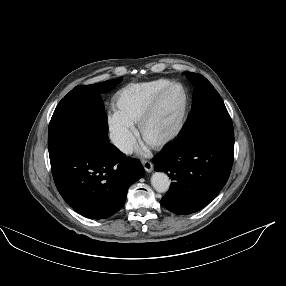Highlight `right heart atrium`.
I'll list each match as a JSON object with an SVG mask.
<instances>
[{
	"label": "right heart atrium",
	"mask_w": 286,
	"mask_h": 286,
	"mask_svg": "<svg viewBox=\"0 0 286 286\" xmlns=\"http://www.w3.org/2000/svg\"><path fill=\"white\" fill-rule=\"evenodd\" d=\"M109 136L119 150L130 151L136 143V129L134 124L123 116L116 108L110 109L107 114Z\"/></svg>",
	"instance_id": "obj_1"
}]
</instances>
